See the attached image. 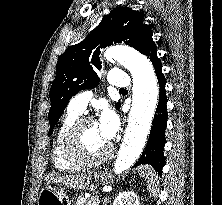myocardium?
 I'll list each match as a JSON object with an SVG mask.
<instances>
[{
    "instance_id": "obj_1",
    "label": "myocardium",
    "mask_w": 222,
    "mask_h": 205,
    "mask_svg": "<svg viewBox=\"0 0 222 205\" xmlns=\"http://www.w3.org/2000/svg\"><path fill=\"white\" fill-rule=\"evenodd\" d=\"M95 121L90 117H79L66 131L63 139V148L67 158L81 166H92L104 162L112 153L113 146L108 144L106 150L96 157L84 156L78 147V136L87 123H94Z\"/></svg>"
}]
</instances>
